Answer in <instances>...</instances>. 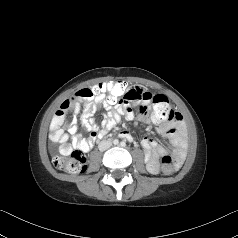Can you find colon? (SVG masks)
<instances>
[{"label":"colon","instance_id":"5ec220e1","mask_svg":"<svg viewBox=\"0 0 238 238\" xmlns=\"http://www.w3.org/2000/svg\"><path fill=\"white\" fill-rule=\"evenodd\" d=\"M125 82L119 80H104L90 88H84L76 92L72 100H90L94 97H101L111 103H119L128 92ZM152 118L158 122L171 121L176 112L172 109L169 100L163 95H156L153 98V106L150 112ZM86 156L82 150H75L64 156H57L54 165L58 170L71 174H81L87 167ZM177 169V161L171 155H165L161 161L160 173L170 175Z\"/></svg>","mask_w":238,"mask_h":238}]
</instances>
